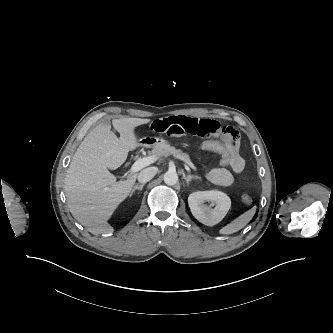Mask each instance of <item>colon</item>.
Segmentation results:
<instances>
[{
    "label": "colon",
    "instance_id": "5ec220e1",
    "mask_svg": "<svg viewBox=\"0 0 333 333\" xmlns=\"http://www.w3.org/2000/svg\"><path fill=\"white\" fill-rule=\"evenodd\" d=\"M197 148L206 151L212 152L219 156L220 163L223 167L229 168L231 165V157L229 151L226 147L214 140H203L197 144ZM242 201L245 204H251L252 198L248 194L242 195Z\"/></svg>",
    "mask_w": 333,
    "mask_h": 333
}]
</instances>
